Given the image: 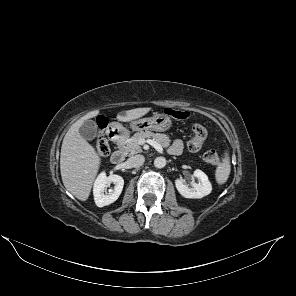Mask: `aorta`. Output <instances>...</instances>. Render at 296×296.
<instances>
[{"label": "aorta", "mask_w": 296, "mask_h": 296, "mask_svg": "<svg viewBox=\"0 0 296 296\" xmlns=\"http://www.w3.org/2000/svg\"><path fill=\"white\" fill-rule=\"evenodd\" d=\"M166 165V159L164 157H157L154 160V166L156 168H163Z\"/></svg>", "instance_id": "1"}]
</instances>
